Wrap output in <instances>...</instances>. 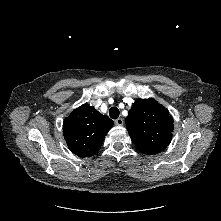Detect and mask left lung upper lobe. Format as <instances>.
<instances>
[{
    "label": "left lung upper lobe",
    "mask_w": 221,
    "mask_h": 221,
    "mask_svg": "<svg viewBox=\"0 0 221 221\" xmlns=\"http://www.w3.org/2000/svg\"><path fill=\"white\" fill-rule=\"evenodd\" d=\"M126 127L135 146L148 155L163 151L170 144L174 129L169 111L152 98L134 102Z\"/></svg>",
    "instance_id": "obj_1"
}]
</instances>
